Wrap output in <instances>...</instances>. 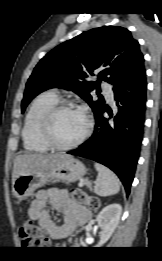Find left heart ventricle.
I'll return each mask as SVG.
<instances>
[{
	"label": "left heart ventricle",
	"mask_w": 162,
	"mask_h": 261,
	"mask_svg": "<svg viewBox=\"0 0 162 261\" xmlns=\"http://www.w3.org/2000/svg\"><path fill=\"white\" fill-rule=\"evenodd\" d=\"M86 119L78 110L60 112L53 123V133L57 142L69 144L78 139L84 132Z\"/></svg>",
	"instance_id": "left-heart-ventricle-1"
}]
</instances>
